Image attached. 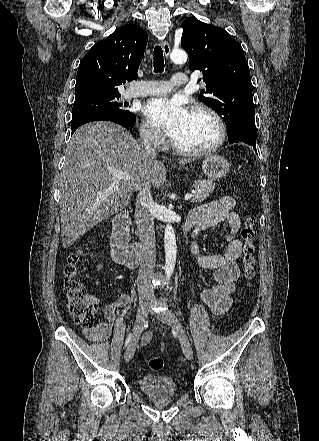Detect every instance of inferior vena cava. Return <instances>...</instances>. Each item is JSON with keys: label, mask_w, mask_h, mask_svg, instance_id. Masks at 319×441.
<instances>
[{"label": "inferior vena cava", "mask_w": 319, "mask_h": 441, "mask_svg": "<svg viewBox=\"0 0 319 441\" xmlns=\"http://www.w3.org/2000/svg\"><path fill=\"white\" fill-rule=\"evenodd\" d=\"M153 134L147 132L143 135V143L146 152L151 156H156V151L151 147ZM154 201L149 189L143 190L140 199L135 206V222L137 225L136 233L140 237L142 258L138 274V293L139 296H153L154 287L150 281L156 262V244L154 220L150 208Z\"/></svg>", "instance_id": "602c4592"}]
</instances>
